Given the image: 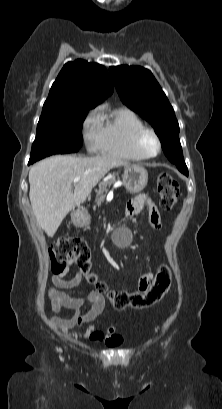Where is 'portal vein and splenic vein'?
Segmentation results:
<instances>
[{"label":"portal vein and splenic vein","instance_id":"1","mask_svg":"<svg viewBox=\"0 0 222 409\" xmlns=\"http://www.w3.org/2000/svg\"><path fill=\"white\" fill-rule=\"evenodd\" d=\"M79 181H80V178H79V177H76V178H74V180H73L74 183H77V182H79Z\"/></svg>","mask_w":222,"mask_h":409}]
</instances>
